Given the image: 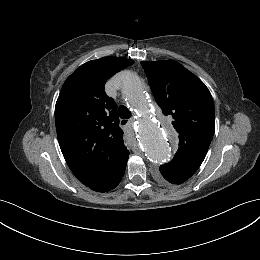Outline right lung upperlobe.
<instances>
[{
  "mask_svg": "<svg viewBox=\"0 0 260 260\" xmlns=\"http://www.w3.org/2000/svg\"><path fill=\"white\" fill-rule=\"evenodd\" d=\"M131 64L133 60L122 57L88 61L66 79L57 99L55 122L61 151L73 174L87 187L112 181L126 168L129 151L117 105L104 86Z\"/></svg>",
  "mask_w": 260,
  "mask_h": 260,
  "instance_id": "right-lung-upper-lobe-1",
  "label": "right lung upper lobe"
}]
</instances>
